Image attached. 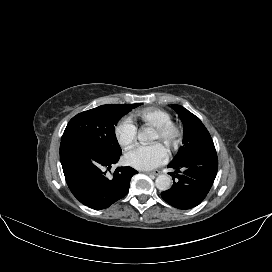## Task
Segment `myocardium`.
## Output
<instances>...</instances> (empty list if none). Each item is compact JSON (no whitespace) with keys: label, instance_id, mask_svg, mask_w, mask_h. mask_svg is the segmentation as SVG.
Here are the masks:
<instances>
[{"label":"myocardium","instance_id":"f54148a6","mask_svg":"<svg viewBox=\"0 0 272 272\" xmlns=\"http://www.w3.org/2000/svg\"><path fill=\"white\" fill-rule=\"evenodd\" d=\"M155 131L158 133L160 141L169 150L176 149L182 142L184 135L183 127L172 120L155 127Z\"/></svg>","mask_w":272,"mask_h":272}]
</instances>
